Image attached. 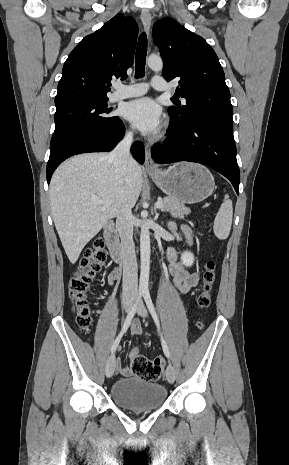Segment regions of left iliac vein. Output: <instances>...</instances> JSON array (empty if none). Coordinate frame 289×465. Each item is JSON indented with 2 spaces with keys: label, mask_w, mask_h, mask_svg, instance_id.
<instances>
[{
  "label": "left iliac vein",
  "mask_w": 289,
  "mask_h": 465,
  "mask_svg": "<svg viewBox=\"0 0 289 465\" xmlns=\"http://www.w3.org/2000/svg\"><path fill=\"white\" fill-rule=\"evenodd\" d=\"M137 313H138V315H140L142 317L147 316V311H146V308H145L142 301H140V303H139ZM166 378H167L169 383H173L175 381V378H176L175 369H174L173 365L170 364V363L168 364L167 369H166Z\"/></svg>",
  "instance_id": "1"
}]
</instances>
